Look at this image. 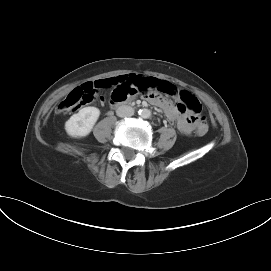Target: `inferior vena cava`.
Instances as JSON below:
<instances>
[{
	"label": "inferior vena cava",
	"instance_id": "inferior-vena-cava-1",
	"mask_svg": "<svg viewBox=\"0 0 271 271\" xmlns=\"http://www.w3.org/2000/svg\"><path fill=\"white\" fill-rule=\"evenodd\" d=\"M116 114L119 117H131L134 115V109L127 105H122L116 110Z\"/></svg>",
	"mask_w": 271,
	"mask_h": 271
}]
</instances>
